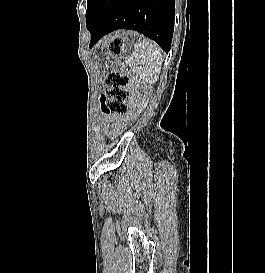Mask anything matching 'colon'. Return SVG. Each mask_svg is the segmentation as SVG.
Here are the masks:
<instances>
[{"label":"colon","instance_id":"1","mask_svg":"<svg viewBox=\"0 0 265 273\" xmlns=\"http://www.w3.org/2000/svg\"><path fill=\"white\" fill-rule=\"evenodd\" d=\"M122 47L123 42L121 38L116 37L110 44V51L112 53H119ZM130 78V72L125 68H120L107 74L105 82L108 89L100 97L101 109L104 114L113 116L127 112Z\"/></svg>","mask_w":265,"mask_h":273}]
</instances>
